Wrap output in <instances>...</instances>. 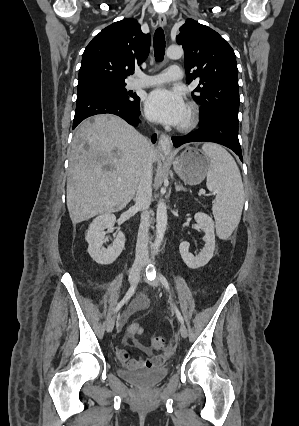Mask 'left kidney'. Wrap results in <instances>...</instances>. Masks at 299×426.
Segmentation results:
<instances>
[{"mask_svg": "<svg viewBox=\"0 0 299 426\" xmlns=\"http://www.w3.org/2000/svg\"><path fill=\"white\" fill-rule=\"evenodd\" d=\"M194 218L205 233V245L203 249L198 255L194 256L189 252L190 244L188 242L184 241L179 246V251L184 263L191 269H197L206 265L213 257L215 250L214 222L212 218L203 212L196 213Z\"/></svg>", "mask_w": 299, "mask_h": 426, "instance_id": "left-kidney-1", "label": "left kidney"}]
</instances>
